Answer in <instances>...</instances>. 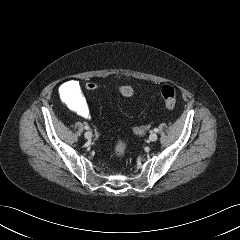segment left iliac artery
I'll list each match as a JSON object with an SVG mask.
<instances>
[{"instance_id":"1","label":"left iliac artery","mask_w":240,"mask_h":240,"mask_svg":"<svg viewBox=\"0 0 240 240\" xmlns=\"http://www.w3.org/2000/svg\"><path fill=\"white\" fill-rule=\"evenodd\" d=\"M154 131H155V132H158V131H159V129L155 128V129H154Z\"/></svg>"}]
</instances>
